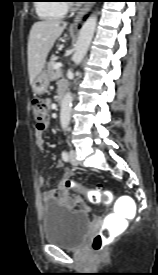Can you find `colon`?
Instances as JSON below:
<instances>
[{
    "mask_svg": "<svg viewBox=\"0 0 158 275\" xmlns=\"http://www.w3.org/2000/svg\"><path fill=\"white\" fill-rule=\"evenodd\" d=\"M32 108L34 112V117L36 120V129L39 131H44L48 128V114L49 105L44 99L34 98L32 100ZM66 188L69 190L75 189L73 182L70 179L65 181ZM90 199L94 202L103 201L105 203H111L113 196L110 191H91L88 192ZM114 233L108 228H103L100 230L92 239V248L95 251H100L103 247L108 244L114 238Z\"/></svg>",
    "mask_w": 158,
    "mask_h": 275,
    "instance_id": "obj_1",
    "label": "colon"
}]
</instances>
